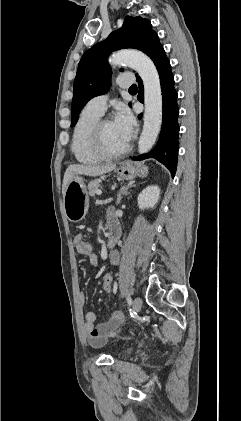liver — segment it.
<instances>
[{
  "instance_id": "1",
  "label": "liver",
  "mask_w": 241,
  "mask_h": 421,
  "mask_svg": "<svg viewBox=\"0 0 241 421\" xmlns=\"http://www.w3.org/2000/svg\"><path fill=\"white\" fill-rule=\"evenodd\" d=\"M115 167H116L115 164H109V165L73 164V165L68 166V168L65 171L63 184H62L63 197L65 195L67 185L73 179L74 176L81 174L85 176L96 177V176H100L114 170Z\"/></svg>"
}]
</instances>
